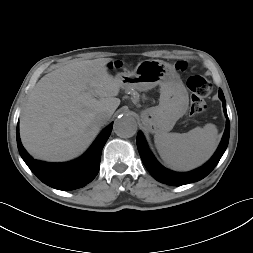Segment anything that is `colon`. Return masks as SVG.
Masks as SVG:
<instances>
[{"mask_svg":"<svg viewBox=\"0 0 253 253\" xmlns=\"http://www.w3.org/2000/svg\"><path fill=\"white\" fill-rule=\"evenodd\" d=\"M176 67L180 70L186 68L185 62H178ZM188 88L191 91V105L190 114L192 116H199L206 110L205 98L212 90L211 83L201 75H194L188 79Z\"/></svg>","mask_w":253,"mask_h":253,"instance_id":"1","label":"colon"}]
</instances>
